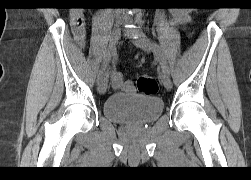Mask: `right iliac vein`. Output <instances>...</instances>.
<instances>
[{
	"label": "right iliac vein",
	"mask_w": 251,
	"mask_h": 180,
	"mask_svg": "<svg viewBox=\"0 0 251 180\" xmlns=\"http://www.w3.org/2000/svg\"><path fill=\"white\" fill-rule=\"evenodd\" d=\"M121 36V29L119 25H116L111 33L110 44L108 50L111 52L112 56L115 54L116 45ZM108 86V73H104L102 79L98 83V92L104 94Z\"/></svg>",
	"instance_id": "63e3f726"
}]
</instances>
